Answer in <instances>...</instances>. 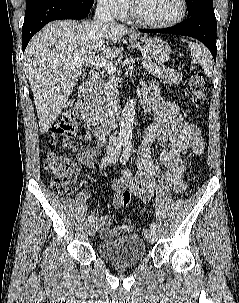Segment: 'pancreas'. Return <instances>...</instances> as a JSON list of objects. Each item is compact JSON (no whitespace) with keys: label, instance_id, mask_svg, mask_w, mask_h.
Masks as SVG:
<instances>
[{"label":"pancreas","instance_id":"obj_1","mask_svg":"<svg viewBox=\"0 0 239 303\" xmlns=\"http://www.w3.org/2000/svg\"><path fill=\"white\" fill-rule=\"evenodd\" d=\"M151 66L154 69L159 68L161 70L159 72L154 70L150 71L155 77L163 79L170 84H179L182 82L183 75L178 71L155 64H152ZM117 86L118 82L114 76H109L107 81L100 82L96 92V109L99 113L109 111L114 107L118 96Z\"/></svg>","mask_w":239,"mask_h":303}]
</instances>
